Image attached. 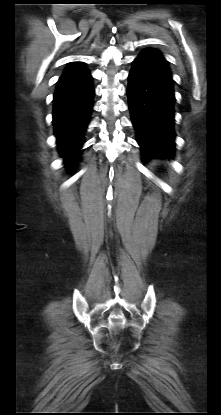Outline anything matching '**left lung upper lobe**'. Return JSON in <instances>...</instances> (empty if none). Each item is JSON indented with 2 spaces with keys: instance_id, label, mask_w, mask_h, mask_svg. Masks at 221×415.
Here are the masks:
<instances>
[{
  "instance_id": "5c2ea615",
  "label": "left lung upper lobe",
  "mask_w": 221,
  "mask_h": 415,
  "mask_svg": "<svg viewBox=\"0 0 221 415\" xmlns=\"http://www.w3.org/2000/svg\"><path fill=\"white\" fill-rule=\"evenodd\" d=\"M141 53H146V54L154 55V56L160 58L165 63H167V61L165 60V58L162 56V54L158 50L145 49Z\"/></svg>"
}]
</instances>
